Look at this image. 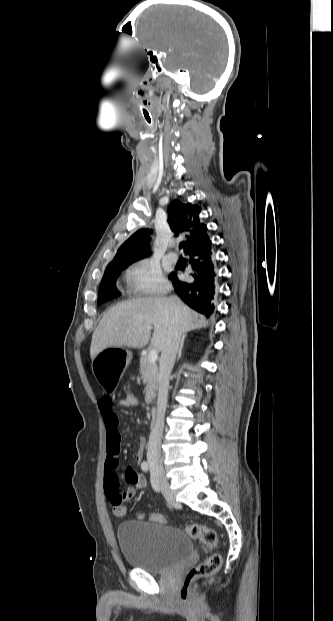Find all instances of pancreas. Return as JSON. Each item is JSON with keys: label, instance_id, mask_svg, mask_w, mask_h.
Here are the masks:
<instances>
[{"label": "pancreas", "instance_id": "1", "mask_svg": "<svg viewBox=\"0 0 333 621\" xmlns=\"http://www.w3.org/2000/svg\"><path fill=\"white\" fill-rule=\"evenodd\" d=\"M140 374L142 375L143 383L146 384L145 401L150 403L156 396L159 374L156 364L150 363L148 356H142L140 358Z\"/></svg>", "mask_w": 333, "mask_h": 621}]
</instances>
